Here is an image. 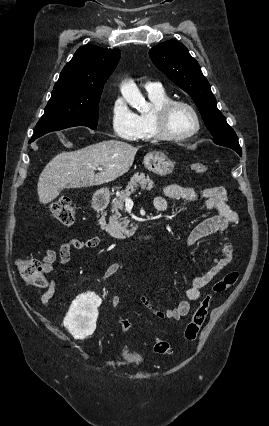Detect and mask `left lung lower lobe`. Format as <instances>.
<instances>
[{"label":"left lung lower lobe","instance_id":"obj_1","mask_svg":"<svg viewBox=\"0 0 269 426\" xmlns=\"http://www.w3.org/2000/svg\"><path fill=\"white\" fill-rule=\"evenodd\" d=\"M233 150H235L240 156H242L241 148H237V149H233Z\"/></svg>","mask_w":269,"mask_h":426}]
</instances>
